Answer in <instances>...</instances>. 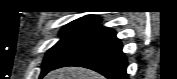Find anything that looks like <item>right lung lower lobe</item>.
<instances>
[{"mask_svg": "<svg viewBox=\"0 0 177 79\" xmlns=\"http://www.w3.org/2000/svg\"><path fill=\"white\" fill-rule=\"evenodd\" d=\"M65 66L86 67L108 79H128L120 40L113 30L100 25L50 70Z\"/></svg>", "mask_w": 177, "mask_h": 79, "instance_id": "1", "label": "right lung lower lobe"}]
</instances>
